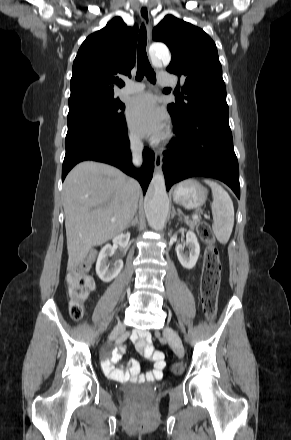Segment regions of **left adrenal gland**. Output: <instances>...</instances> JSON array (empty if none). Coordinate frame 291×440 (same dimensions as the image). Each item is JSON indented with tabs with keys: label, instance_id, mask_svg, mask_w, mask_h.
<instances>
[{
	"label": "left adrenal gland",
	"instance_id": "left-adrenal-gland-1",
	"mask_svg": "<svg viewBox=\"0 0 291 440\" xmlns=\"http://www.w3.org/2000/svg\"><path fill=\"white\" fill-rule=\"evenodd\" d=\"M175 215L180 216V215L175 211V209H173V212H172V218H173Z\"/></svg>",
	"mask_w": 291,
	"mask_h": 440
}]
</instances>
